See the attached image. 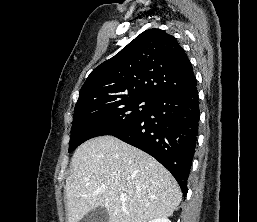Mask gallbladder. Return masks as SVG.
<instances>
[{
	"instance_id": "bac80fb5",
	"label": "gallbladder",
	"mask_w": 257,
	"mask_h": 222,
	"mask_svg": "<svg viewBox=\"0 0 257 222\" xmlns=\"http://www.w3.org/2000/svg\"><path fill=\"white\" fill-rule=\"evenodd\" d=\"M80 222H109V215L105 207H97L88 212Z\"/></svg>"
}]
</instances>
